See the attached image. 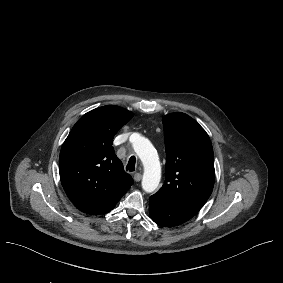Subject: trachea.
Listing matches in <instances>:
<instances>
[{"label":"trachea","instance_id":"1","mask_svg":"<svg viewBox=\"0 0 283 283\" xmlns=\"http://www.w3.org/2000/svg\"><path fill=\"white\" fill-rule=\"evenodd\" d=\"M135 164H136V158L135 156H131L126 166V170L133 172L135 170Z\"/></svg>","mask_w":283,"mask_h":283}]
</instances>
